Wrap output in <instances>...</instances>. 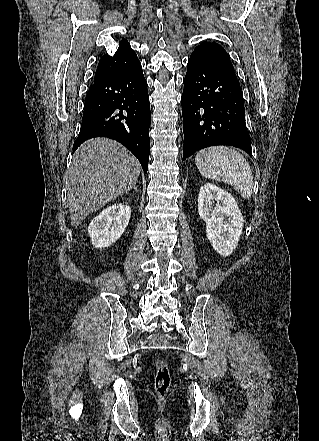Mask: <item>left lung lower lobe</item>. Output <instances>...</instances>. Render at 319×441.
<instances>
[{
	"label": "left lung lower lobe",
	"instance_id": "left-lung-lower-lobe-1",
	"mask_svg": "<svg viewBox=\"0 0 319 441\" xmlns=\"http://www.w3.org/2000/svg\"><path fill=\"white\" fill-rule=\"evenodd\" d=\"M183 83V160L216 145L234 146L251 155V139L237 77L191 56Z\"/></svg>",
	"mask_w": 319,
	"mask_h": 441
}]
</instances>
